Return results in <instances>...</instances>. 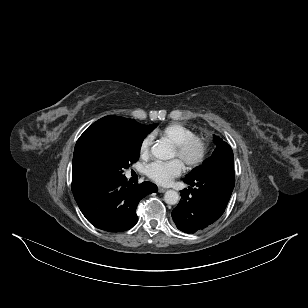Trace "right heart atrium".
Segmentation results:
<instances>
[{
	"instance_id": "obj_1",
	"label": "right heart atrium",
	"mask_w": 308,
	"mask_h": 308,
	"mask_svg": "<svg viewBox=\"0 0 308 308\" xmlns=\"http://www.w3.org/2000/svg\"><path fill=\"white\" fill-rule=\"evenodd\" d=\"M150 144H151V137L150 136H146L139 147V154L142 158H147L149 155V148H150Z\"/></svg>"
}]
</instances>
